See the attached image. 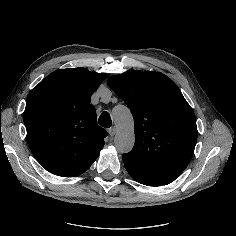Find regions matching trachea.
I'll list each match as a JSON object with an SVG mask.
<instances>
[{"label":"trachea","mask_w":236,"mask_h":236,"mask_svg":"<svg viewBox=\"0 0 236 236\" xmlns=\"http://www.w3.org/2000/svg\"><path fill=\"white\" fill-rule=\"evenodd\" d=\"M98 122L104 128H110L112 125V121L108 112H103L100 115Z\"/></svg>","instance_id":"trachea-1"}]
</instances>
